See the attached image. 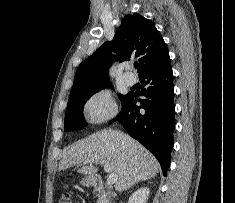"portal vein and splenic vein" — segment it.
Returning <instances> with one entry per match:
<instances>
[{"label":"portal vein and splenic vein","instance_id":"portal-vein-and-splenic-vein-1","mask_svg":"<svg viewBox=\"0 0 235 203\" xmlns=\"http://www.w3.org/2000/svg\"><path fill=\"white\" fill-rule=\"evenodd\" d=\"M88 162H90V161L88 160ZM104 170L106 172L110 173L108 178H107V183L109 185L114 184L117 180V175L111 171V168H110L109 165H104Z\"/></svg>","mask_w":235,"mask_h":203}]
</instances>
